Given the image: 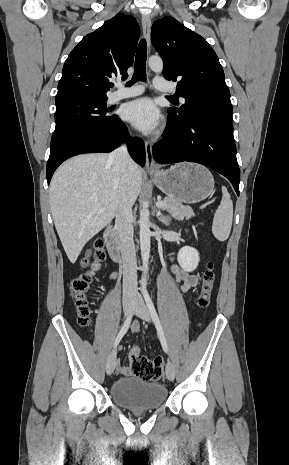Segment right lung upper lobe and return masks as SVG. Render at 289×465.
Masks as SVG:
<instances>
[{"mask_svg":"<svg viewBox=\"0 0 289 465\" xmlns=\"http://www.w3.org/2000/svg\"><path fill=\"white\" fill-rule=\"evenodd\" d=\"M139 33L135 18L119 13L86 35L65 61L55 103L108 99L109 79L128 76Z\"/></svg>","mask_w":289,"mask_h":465,"instance_id":"cb5924a9","label":"right lung upper lobe"}]
</instances>
